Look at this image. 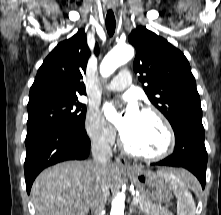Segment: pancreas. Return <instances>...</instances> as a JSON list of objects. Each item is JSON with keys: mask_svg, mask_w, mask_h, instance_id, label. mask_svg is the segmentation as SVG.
I'll return each mask as SVG.
<instances>
[{"mask_svg": "<svg viewBox=\"0 0 221 215\" xmlns=\"http://www.w3.org/2000/svg\"><path fill=\"white\" fill-rule=\"evenodd\" d=\"M135 198L139 199V203H137V206L140 212H145L148 215H172L165 210L159 209V207L155 203L148 201L143 196H136Z\"/></svg>", "mask_w": 221, "mask_h": 215, "instance_id": "pancreas-1", "label": "pancreas"}]
</instances>
